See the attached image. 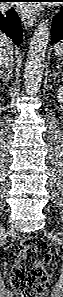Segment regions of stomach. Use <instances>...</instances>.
<instances>
[{"label":"stomach","mask_w":63,"mask_h":297,"mask_svg":"<svg viewBox=\"0 0 63 297\" xmlns=\"http://www.w3.org/2000/svg\"><path fill=\"white\" fill-rule=\"evenodd\" d=\"M55 54L60 59H63V44L60 43L55 47Z\"/></svg>","instance_id":"1"}]
</instances>
